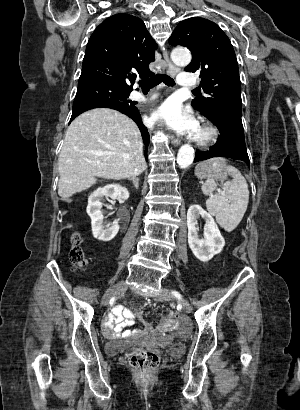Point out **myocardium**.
Wrapping results in <instances>:
<instances>
[{
  "label": "myocardium",
  "instance_id": "1",
  "mask_svg": "<svg viewBox=\"0 0 300 410\" xmlns=\"http://www.w3.org/2000/svg\"><path fill=\"white\" fill-rule=\"evenodd\" d=\"M198 130L200 134L198 136H195L194 143L196 146L201 148L212 145L213 143H215L219 136L217 127L208 121H203L200 124Z\"/></svg>",
  "mask_w": 300,
  "mask_h": 410
}]
</instances>
